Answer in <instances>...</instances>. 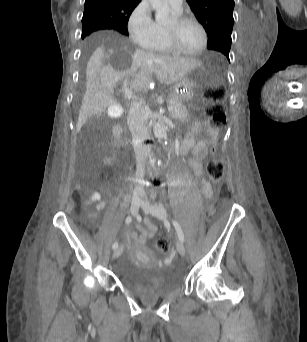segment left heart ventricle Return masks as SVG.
Here are the masks:
<instances>
[{
    "label": "left heart ventricle",
    "mask_w": 307,
    "mask_h": 342,
    "mask_svg": "<svg viewBox=\"0 0 307 342\" xmlns=\"http://www.w3.org/2000/svg\"><path fill=\"white\" fill-rule=\"evenodd\" d=\"M163 31L169 33L175 43L184 51L194 52L203 44L204 36L202 29L197 23L192 21L176 25L174 19Z\"/></svg>",
    "instance_id": "b2bd125f"
}]
</instances>
